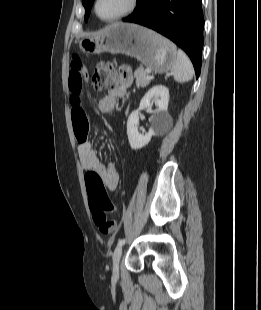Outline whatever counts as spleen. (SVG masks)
Returning <instances> with one entry per match:
<instances>
[{
    "label": "spleen",
    "instance_id": "spleen-1",
    "mask_svg": "<svg viewBox=\"0 0 261 310\" xmlns=\"http://www.w3.org/2000/svg\"><path fill=\"white\" fill-rule=\"evenodd\" d=\"M174 80L179 83H185L193 78L194 70L191 61L182 51H177V59L172 67Z\"/></svg>",
    "mask_w": 261,
    "mask_h": 310
}]
</instances>
